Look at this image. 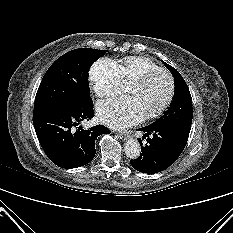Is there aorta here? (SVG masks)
Listing matches in <instances>:
<instances>
[{"label":"aorta","instance_id":"obj_1","mask_svg":"<svg viewBox=\"0 0 233 233\" xmlns=\"http://www.w3.org/2000/svg\"><path fill=\"white\" fill-rule=\"evenodd\" d=\"M124 152L130 159L138 158L141 153V146L138 140L133 138L127 140L124 146Z\"/></svg>","mask_w":233,"mask_h":233}]
</instances>
